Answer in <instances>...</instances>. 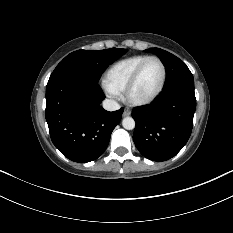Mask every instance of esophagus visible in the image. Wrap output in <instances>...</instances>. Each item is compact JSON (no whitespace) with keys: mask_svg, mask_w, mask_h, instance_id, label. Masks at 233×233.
<instances>
[{"mask_svg":"<svg viewBox=\"0 0 233 233\" xmlns=\"http://www.w3.org/2000/svg\"><path fill=\"white\" fill-rule=\"evenodd\" d=\"M130 114H131V111L129 109H124V111H123L124 117L129 116Z\"/></svg>","mask_w":233,"mask_h":233,"instance_id":"1","label":"esophagus"}]
</instances>
